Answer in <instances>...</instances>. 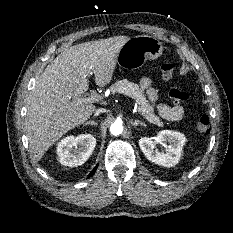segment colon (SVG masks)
Wrapping results in <instances>:
<instances>
[{
  "label": "colon",
  "instance_id": "5ec220e1",
  "mask_svg": "<svg viewBox=\"0 0 233 233\" xmlns=\"http://www.w3.org/2000/svg\"><path fill=\"white\" fill-rule=\"evenodd\" d=\"M161 73L165 80H170L173 77L174 66L170 63H164L161 66ZM169 99L174 103H180L188 98V95L179 88H172L168 92ZM197 129L203 134L210 131V121L207 115H201L197 120Z\"/></svg>",
  "mask_w": 233,
  "mask_h": 233
}]
</instances>
